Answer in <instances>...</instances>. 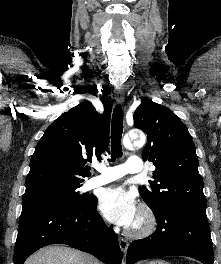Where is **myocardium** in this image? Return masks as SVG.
Here are the masks:
<instances>
[{
    "instance_id": "1",
    "label": "myocardium",
    "mask_w": 221,
    "mask_h": 264,
    "mask_svg": "<svg viewBox=\"0 0 221 264\" xmlns=\"http://www.w3.org/2000/svg\"><path fill=\"white\" fill-rule=\"evenodd\" d=\"M157 226L154 212L147 205L140 207L136 223L129 229V234L133 237H146L152 234Z\"/></svg>"
}]
</instances>
